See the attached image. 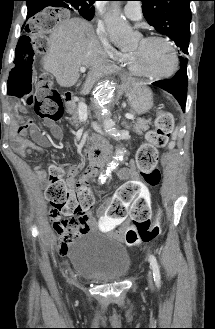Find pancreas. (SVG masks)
I'll return each instance as SVG.
<instances>
[{"label":"pancreas","instance_id":"obj_1","mask_svg":"<svg viewBox=\"0 0 215 329\" xmlns=\"http://www.w3.org/2000/svg\"><path fill=\"white\" fill-rule=\"evenodd\" d=\"M69 111L72 114V125L78 128L82 124V121L80 120L78 108L76 107L75 103H71L69 106ZM149 124H151L150 119H137L136 121L132 122L131 127H133V131L141 135L143 131H147L149 129Z\"/></svg>","mask_w":215,"mask_h":329}]
</instances>
